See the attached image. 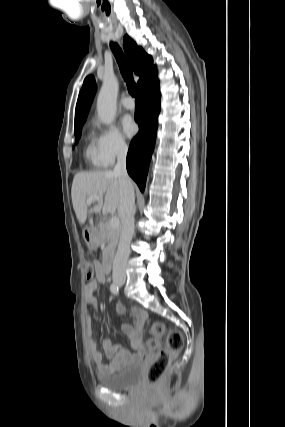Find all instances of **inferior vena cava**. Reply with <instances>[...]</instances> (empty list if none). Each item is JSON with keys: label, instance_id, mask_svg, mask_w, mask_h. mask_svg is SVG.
I'll return each mask as SVG.
<instances>
[{"label": "inferior vena cava", "instance_id": "obj_1", "mask_svg": "<svg viewBox=\"0 0 285 427\" xmlns=\"http://www.w3.org/2000/svg\"><path fill=\"white\" fill-rule=\"evenodd\" d=\"M128 148L121 145L117 154V164L114 173L119 177L120 201L118 213L121 219V235L118 250L113 262V275L125 276V269L130 253V242L134 234L135 194L132 182L126 170Z\"/></svg>", "mask_w": 285, "mask_h": 427}]
</instances>
